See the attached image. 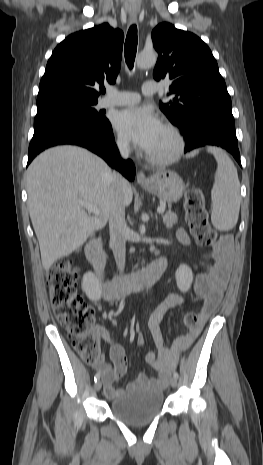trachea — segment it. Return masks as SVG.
Masks as SVG:
<instances>
[{
  "label": "trachea",
  "mask_w": 263,
  "mask_h": 465,
  "mask_svg": "<svg viewBox=\"0 0 263 465\" xmlns=\"http://www.w3.org/2000/svg\"><path fill=\"white\" fill-rule=\"evenodd\" d=\"M137 26L131 25L125 41V60L130 69L134 66L136 51H137Z\"/></svg>",
  "instance_id": "3493384b"
}]
</instances>
